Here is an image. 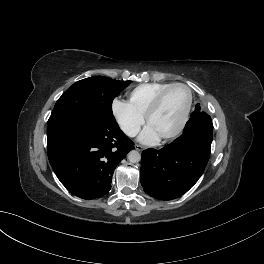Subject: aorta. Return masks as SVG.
Instances as JSON below:
<instances>
[{
    "label": "aorta",
    "mask_w": 264,
    "mask_h": 264,
    "mask_svg": "<svg viewBox=\"0 0 264 264\" xmlns=\"http://www.w3.org/2000/svg\"><path fill=\"white\" fill-rule=\"evenodd\" d=\"M128 160L131 163H137L141 160V155L138 151L132 150L128 153Z\"/></svg>",
    "instance_id": "762f6f07"
}]
</instances>
